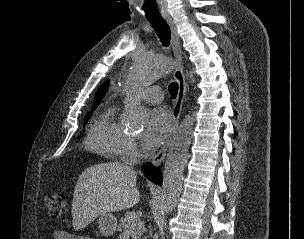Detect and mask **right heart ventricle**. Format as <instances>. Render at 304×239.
Masks as SVG:
<instances>
[{
    "label": "right heart ventricle",
    "mask_w": 304,
    "mask_h": 239,
    "mask_svg": "<svg viewBox=\"0 0 304 239\" xmlns=\"http://www.w3.org/2000/svg\"><path fill=\"white\" fill-rule=\"evenodd\" d=\"M115 112L114 106L101 112L89 126L85 139L87 148L109 159L119 157L126 136L123 127L115 118Z\"/></svg>",
    "instance_id": "e07e8e85"
}]
</instances>
